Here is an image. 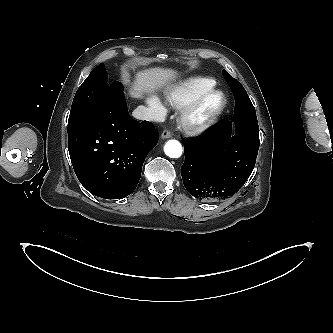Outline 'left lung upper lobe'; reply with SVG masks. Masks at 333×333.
Masks as SVG:
<instances>
[{
    "label": "left lung upper lobe",
    "instance_id": "1",
    "mask_svg": "<svg viewBox=\"0 0 333 333\" xmlns=\"http://www.w3.org/2000/svg\"><path fill=\"white\" fill-rule=\"evenodd\" d=\"M223 75L225 76L226 80L228 81L229 85L231 86L234 96L236 98L243 97L250 103L248 95H247L245 89L243 88V86L236 79H234L231 75H229L225 70H223Z\"/></svg>",
    "mask_w": 333,
    "mask_h": 333
}]
</instances>
